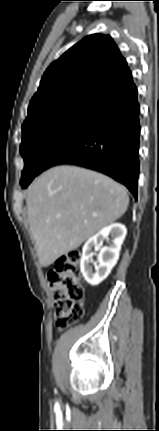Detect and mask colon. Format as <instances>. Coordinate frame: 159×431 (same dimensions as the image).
Masks as SVG:
<instances>
[{
    "instance_id": "1",
    "label": "colon",
    "mask_w": 159,
    "mask_h": 431,
    "mask_svg": "<svg viewBox=\"0 0 159 431\" xmlns=\"http://www.w3.org/2000/svg\"><path fill=\"white\" fill-rule=\"evenodd\" d=\"M81 258L79 251H71L58 258L48 274L57 325L61 328H67L78 322L83 315L84 287L80 273Z\"/></svg>"
}]
</instances>
